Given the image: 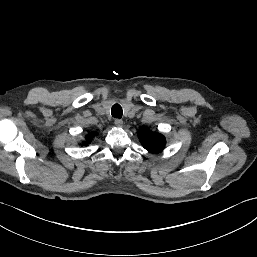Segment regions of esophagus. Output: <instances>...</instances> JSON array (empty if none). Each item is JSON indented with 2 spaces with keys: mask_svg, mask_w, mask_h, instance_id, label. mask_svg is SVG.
Here are the masks:
<instances>
[{
  "mask_svg": "<svg viewBox=\"0 0 257 257\" xmlns=\"http://www.w3.org/2000/svg\"><path fill=\"white\" fill-rule=\"evenodd\" d=\"M114 123L117 127H122L123 126V121L121 119H118V118L115 119Z\"/></svg>",
  "mask_w": 257,
  "mask_h": 257,
  "instance_id": "esophagus-1",
  "label": "esophagus"
}]
</instances>
